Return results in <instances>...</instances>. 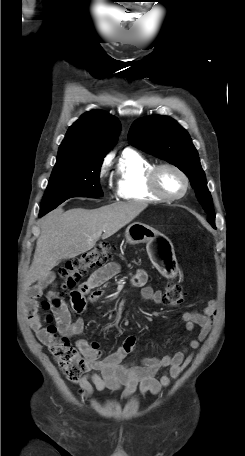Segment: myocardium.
Here are the masks:
<instances>
[{
  "instance_id": "myocardium-1",
  "label": "myocardium",
  "mask_w": 245,
  "mask_h": 456,
  "mask_svg": "<svg viewBox=\"0 0 245 456\" xmlns=\"http://www.w3.org/2000/svg\"><path fill=\"white\" fill-rule=\"evenodd\" d=\"M165 168L174 170L183 179L184 188L180 194L169 195L160 189V187L158 185V174L162 169H165ZM146 181H147V186H148L149 191L153 195L158 197L159 199L165 200V201H176V200L183 198L186 195V193L189 189V185H190L189 178L186 175V173L181 168H179L178 166L171 164V163H162V164L154 165L148 172Z\"/></svg>"
}]
</instances>
